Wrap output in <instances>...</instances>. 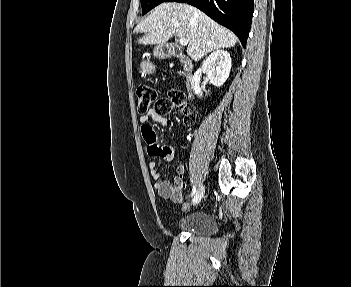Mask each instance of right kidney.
Here are the masks:
<instances>
[{
  "mask_svg": "<svg viewBox=\"0 0 351 287\" xmlns=\"http://www.w3.org/2000/svg\"><path fill=\"white\" fill-rule=\"evenodd\" d=\"M231 69V57L227 51L217 50L211 53L203 62L201 68H199L192 80V88L195 94L199 97L202 96L200 88V80L202 73L206 74L214 86H222L227 78L229 77Z\"/></svg>",
  "mask_w": 351,
  "mask_h": 287,
  "instance_id": "1",
  "label": "right kidney"
}]
</instances>
